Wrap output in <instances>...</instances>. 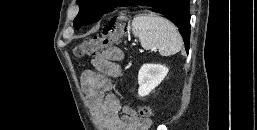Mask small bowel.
I'll return each instance as SVG.
<instances>
[{"instance_id":"1","label":"small bowel","mask_w":257,"mask_h":130,"mask_svg":"<svg viewBox=\"0 0 257 130\" xmlns=\"http://www.w3.org/2000/svg\"><path fill=\"white\" fill-rule=\"evenodd\" d=\"M120 57L121 52L116 48L98 54L93 64L99 73L84 71L81 75L82 89L106 130H147L150 120L140 118L131 107H122L116 95L111 92V79L121 74L116 64Z\"/></svg>"}]
</instances>
